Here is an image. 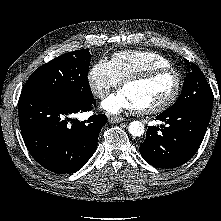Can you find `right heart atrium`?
<instances>
[{
    "mask_svg": "<svg viewBox=\"0 0 221 221\" xmlns=\"http://www.w3.org/2000/svg\"><path fill=\"white\" fill-rule=\"evenodd\" d=\"M87 79L92 93L100 99L106 97L112 89L120 84L110 63L106 60L94 63L88 72Z\"/></svg>",
    "mask_w": 221,
    "mask_h": 221,
    "instance_id": "1",
    "label": "right heart atrium"
}]
</instances>
